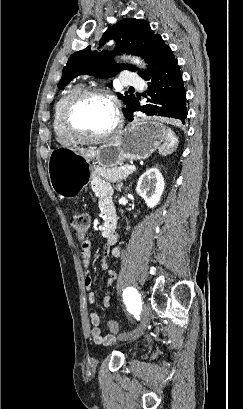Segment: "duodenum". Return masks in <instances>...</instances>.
Segmentation results:
<instances>
[{"label": "duodenum", "instance_id": "duodenum-1", "mask_svg": "<svg viewBox=\"0 0 243 409\" xmlns=\"http://www.w3.org/2000/svg\"><path fill=\"white\" fill-rule=\"evenodd\" d=\"M106 219L103 227V235L105 237H111L115 233L117 217L116 213L112 210L105 211Z\"/></svg>", "mask_w": 243, "mask_h": 409}]
</instances>
